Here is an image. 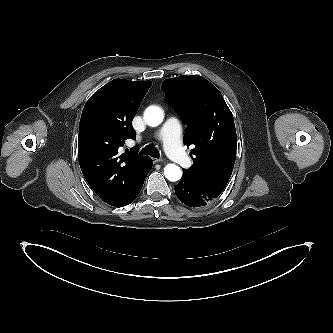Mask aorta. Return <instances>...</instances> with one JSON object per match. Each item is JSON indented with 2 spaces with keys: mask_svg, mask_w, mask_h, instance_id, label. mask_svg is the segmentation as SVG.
<instances>
[{
  "mask_svg": "<svg viewBox=\"0 0 333 333\" xmlns=\"http://www.w3.org/2000/svg\"><path fill=\"white\" fill-rule=\"evenodd\" d=\"M145 121L150 126H158L163 121V112L156 106H150L144 113ZM165 177L172 182L178 181L182 176L180 167L175 164H168L164 168Z\"/></svg>",
  "mask_w": 333,
  "mask_h": 333,
  "instance_id": "obj_1",
  "label": "aorta"
}]
</instances>
